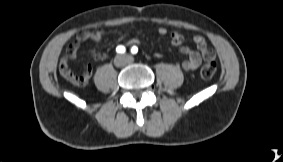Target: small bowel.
I'll use <instances>...</instances> for the list:
<instances>
[{
    "mask_svg": "<svg viewBox=\"0 0 283 162\" xmlns=\"http://www.w3.org/2000/svg\"><path fill=\"white\" fill-rule=\"evenodd\" d=\"M158 33L162 36H169V41L171 45L179 48V51L186 56V59L182 62V68L185 71H194L196 70L202 62V59L206 60L209 57L215 58L214 52L207 46L205 39L202 36L196 35L192 38V42L195 44L196 49H192L188 46L183 45L184 36L179 32H171L168 34V31L164 27L158 28ZM104 37V31L102 29H95L93 31H81L77 34L76 39L72 42L66 50L65 56L60 61V68H68V61L74 59L78 53L80 45L87 41L92 40L99 42ZM139 40L132 38L128 41V44L134 45L138 44ZM92 56L95 59L103 60L107 58L108 54L104 52L93 51ZM155 57L160 58V53H155ZM90 71V68H88Z\"/></svg>",
    "mask_w": 283,
    "mask_h": 162,
    "instance_id": "1",
    "label": "small bowel"
}]
</instances>
